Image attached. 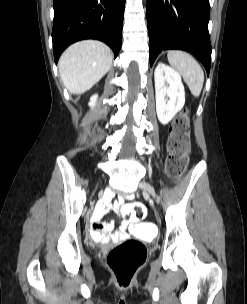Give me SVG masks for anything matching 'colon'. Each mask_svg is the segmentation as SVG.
<instances>
[{
	"instance_id": "1",
	"label": "colon",
	"mask_w": 247,
	"mask_h": 304,
	"mask_svg": "<svg viewBox=\"0 0 247 304\" xmlns=\"http://www.w3.org/2000/svg\"><path fill=\"white\" fill-rule=\"evenodd\" d=\"M189 149V119L187 114L183 113L176 118L170 129L169 154L166 160V171L170 177L178 179L183 174L188 164ZM121 211L125 218L135 222L147 217L145 202L126 204ZM130 233L135 238L112 248L107 256V265L121 288L131 285L147 257L145 244L137 238H160V231L155 224H137L131 228Z\"/></svg>"
}]
</instances>
